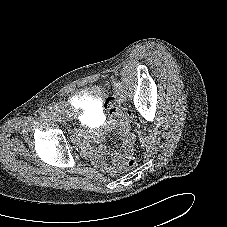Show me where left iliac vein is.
<instances>
[{
	"mask_svg": "<svg viewBox=\"0 0 227 227\" xmlns=\"http://www.w3.org/2000/svg\"><path fill=\"white\" fill-rule=\"evenodd\" d=\"M117 94H118L121 101L125 100V96L120 92V90H117Z\"/></svg>",
	"mask_w": 227,
	"mask_h": 227,
	"instance_id": "left-iliac-vein-1",
	"label": "left iliac vein"
}]
</instances>
